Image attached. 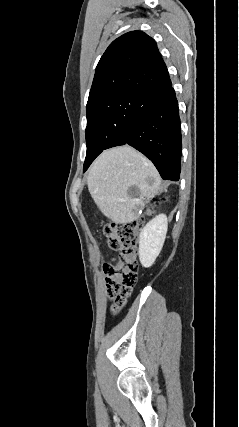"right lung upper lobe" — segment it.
Returning <instances> with one entry per match:
<instances>
[{
	"label": "right lung upper lobe",
	"mask_w": 239,
	"mask_h": 427,
	"mask_svg": "<svg viewBox=\"0 0 239 427\" xmlns=\"http://www.w3.org/2000/svg\"><path fill=\"white\" fill-rule=\"evenodd\" d=\"M172 85L156 42L142 31L114 40L101 57L87 106L126 95L144 97Z\"/></svg>",
	"instance_id": "obj_1"
}]
</instances>
